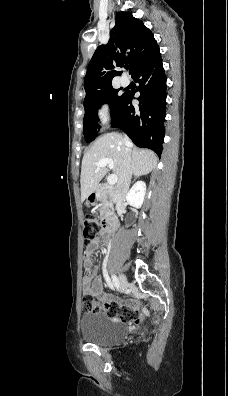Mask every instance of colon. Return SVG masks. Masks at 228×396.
<instances>
[{
  "label": "colon",
  "mask_w": 228,
  "mask_h": 396,
  "mask_svg": "<svg viewBox=\"0 0 228 396\" xmlns=\"http://www.w3.org/2000/svg\"><path fill=\"white\" fill-rule=\"evenodd\" d=\"M85 226L83 229V237L86 242V249L94 238L95 233L98 228L93 217H86ZM86 251V250H85ZM85 253V252H84ZM83 310L86 312H104L106 315L112 318H120L124 321H130L134 319L135 314L132 307L118 304L116 302H98L93 296L90 294H85L83 297Z\"/></svg>",
  "instance_id": "5ec220e1"
}]
</instances>
